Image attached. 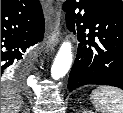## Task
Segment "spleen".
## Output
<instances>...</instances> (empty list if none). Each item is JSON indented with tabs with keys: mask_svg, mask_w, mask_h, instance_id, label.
Masks as SVG:
<instances>
[{
	"mask_svg": "<svg viewBox=\"0 0 123 113\" xmlns=\"http://www.w3.org/2000/svg\"><path fill=\"white\" fill-rule=\"evenodd\" d=\"M90 100L101 113H123V91L118 88L98 87L92 91Z\"/></svg>",
	"mask_w": 123,
	"mask_h": 113,
	"instance_id": "obj_1",
	"label": "spleen"
}]
</instances>
